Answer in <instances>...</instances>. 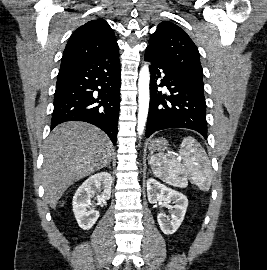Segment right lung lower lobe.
I'll return each instance as SVG.
<instances>
[{"mask_svg":"<svg viewBox=\"0 0 267 270\" xmlns=\"http://www.w3.org/2000/svg\"><path fill=\"white\" fill-rule=\"evenodd\" d=\"M119 49L62 66L54 95L51 129L66 121L101 128L116 144L120 108Z\"/></svg>","mask_w":267,"mask_h":270,"instance_id":"1","label":"right lung lower lobe"}]
</instances>
